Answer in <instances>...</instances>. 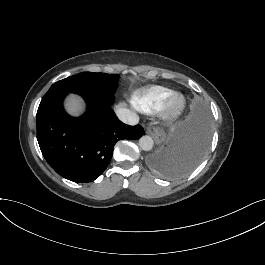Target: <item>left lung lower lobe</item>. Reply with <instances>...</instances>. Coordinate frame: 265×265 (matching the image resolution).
<instances>
[{
	"mask_svg": "<svg viewBox=\"0 0 265 265\" xmlns=\"http://www.w3.org/2000/svg\"><path fill=\"white\" fill-rule=\"evenodd\" d=\"M209 141V115L203 105L197 104L188 118L151 153L148 164L164 177H181L201 162Z\"/></svg>",
	"mask_w": 265,
	"mask_h": 265,
	"instance_id": "obj_1",
	"label": "left lung lower lobe"
}]
</instances>
